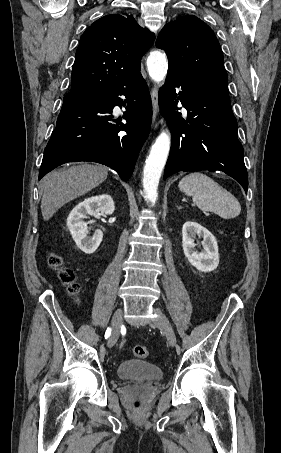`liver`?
I'll return each mask as SVG.
<instances>
[{"label": "liver", "mask_w": 281, "mask_h": 453, "mask_svg": "<svg viewBox=\"0 0 281 453\" xmlns=\"http://www.w3.org/2000/svg\"><path fill=\"white\" fill-rule=\"evenodd\" d=\"M108 166L103 164H76L67 170H53L41 180V212L44 220H49L65 202H70L92 188L102 184L107 178Z\"/></svg>", "instance_id": "obj_1"}]
</instances>
